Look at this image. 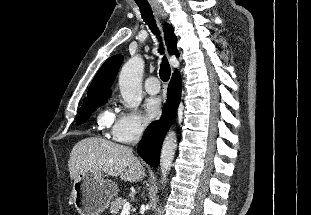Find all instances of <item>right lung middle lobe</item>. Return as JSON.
<instances>
[{"label": "right lung middle lobe", "mask_w": 311, "mask_h": 215, "mask_svg": "<svg viewBox=\"0 0 311 215\" xmlns=\"http://www.w3.org/2000/svg\"><path fill=\"white\" fill-rule=\"evenodd\" d=\"M108 98L109 96H103L84 101L78 114L77 125L84 123L93 111L107 102Z\"/></svg>", "instance_id": "dd1d6c3e"}]
</instances>
